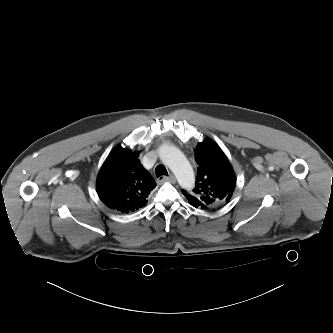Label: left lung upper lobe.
I'll use <instances>...</instances> for the list:
<instances>
[{
    "mask_svg": "<svg viewBox=\"0 0 333 333\" xmlns=\"http://www.w3.org/2000/svg\"><path fill=\"white\" fill-rule=\"evenodd\" d=\"M194 152L199 165L196 186L191 192L182 190V193L196 207L224 206L236 186L232 166L220 147L209 138L198 143Z\"/></svg>",
    "mask_w": 333,
    "mask_h": 333,
    "instance_id": "1",
    "label": "left lung upper lobe"
}]
</instances>
